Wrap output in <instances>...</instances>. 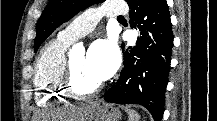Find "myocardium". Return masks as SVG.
<instances>
[{
    "instance_id": "myocardium-1",
    "label": "myocardium",
    "mask_w": 217,
    "mask_h": 121,
    "mask_svg": "<svg viewBox=\"0 0 217 121\" xmlns=\"http://www.w3.org/2000/svg\"><path fill=\"white\" fill-rule=\"evenodd\" d=\"M103 88V83L100 82L90 90L80 89L74 79L73 66L71 59L66 60L61 76V89L66 96L71 98L85 100L97 95Z\"/></svg>"
}]
</instances>
